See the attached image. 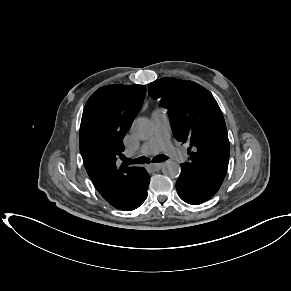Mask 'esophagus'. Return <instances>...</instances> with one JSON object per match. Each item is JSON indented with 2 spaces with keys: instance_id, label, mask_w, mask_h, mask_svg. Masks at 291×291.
Here are the masks:
<instances>
[{
  "instance_id": "1",
  "label": "esophagus",
  "mask_w": 291,
  "mask_h": 291,
  "mask_svg": "<svg viewBox=\"0 0 291 291\" xmlns=\"http://www.w3.org/2000/svg\"><path fill=\"white\" fill-rule=\"evenodd\" d=\"M162 166H163V163H156V164H150L149 168L152 171H157V170H160Z\"/></svg>"
}]
</instances>
